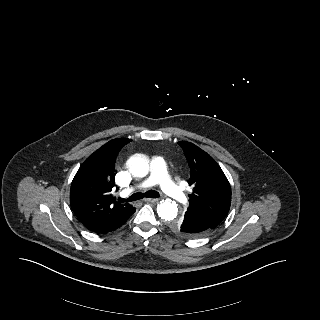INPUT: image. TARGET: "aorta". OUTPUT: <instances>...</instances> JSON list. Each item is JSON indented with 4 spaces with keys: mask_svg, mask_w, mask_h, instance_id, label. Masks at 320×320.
I'll use <instances>...</instances> for the list:
<instances>
[{
    "mask_svg": "<svg viewBox=\"0 0 320 320\" xmlns=\"http://www.w3.org/2000/svg\"><path fill=\"white\" fill-rule=\"evenodd\" d=\"M127 167L134 177L143 178L149 173V161L142 154H134L127 161ZM159 217L167 222L175 221L178 207L175 201L162 200L157 206Z\"/></svg>",
    "mask_w": 320,
    "mask_h": 320,
    "instance_id": "762f6f07",
    "label": "aorta"
}]
</instances>
